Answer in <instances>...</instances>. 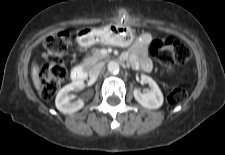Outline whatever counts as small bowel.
Segmentation results:
<instances>
[{"mask_svg":"<svg viewBox=\"0 0 225 155\" xmlns=\"http://www.w3.org/2000/svg\"><path fill=\"white\" fill-rule=\"evenodd\" d=\"M148 39L142 38L135 42L124 57L136 68L149 72L152 70V62L147 56Z\"/></svg>","mask_w":225,"mask_h":155,"instance_id":"small-bowel-1","label":"small bowel"}]
</instances>
